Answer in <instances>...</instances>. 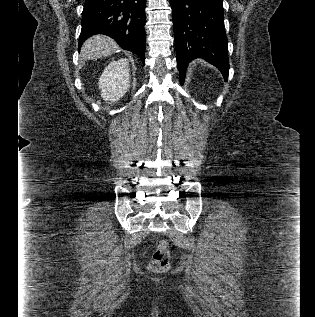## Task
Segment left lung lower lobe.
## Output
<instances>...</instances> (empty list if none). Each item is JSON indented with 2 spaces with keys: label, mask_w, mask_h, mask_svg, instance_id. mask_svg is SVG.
Segmentation results:
<instances>
[{
  "label": "left lung lower lobe",
  "mask_w": 315,
  "mask_h": 317,
  "mask_svg": "<svg viewBox=\"0 0 315 317\" xmlns=\"http://www.w3.org/2000/svg\"><path fill=\"white\" fill-rule=\"evenodd\" d=\"M181 84L195 58L216 66L227 80L229 70L223 0H170Z\"/></svg>",
  "instance_id": "left-lung-lower-lobe-1"
}]
</instances>
